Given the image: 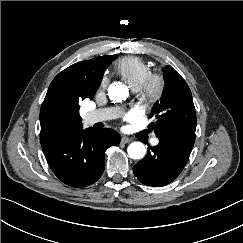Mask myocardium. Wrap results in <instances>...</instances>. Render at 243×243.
Returning <instances> with one entry per match:
<instances>
[{
  "label": "myocardium",
  "mask_w": 243,
  "mask_h": 243,
  "mask_svg": "<svg viewBox=\"0 0 243 243\" xmlns=\"http://www.w3.org/2000/svg\"><path fill=\"white\" fill-rule=\"evenodd\" d=\"M165 88V76L159 72H151L137 89L140 105L145 109L152 107L162 98Z\"/></svg>",
  "instance_id": "1"
}]
</instances>
